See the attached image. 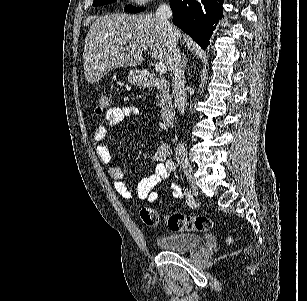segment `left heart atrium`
Segmentation results:
<instances>
[{
    "instance_id": "39dd6f15",
    "label": "left heart atrium",
    "mask_w": 307,
    "mask_h": 301,
    "mask_svg": "<svg viewBox=\"0 0 307 301\" xmlns=\"http://www.w3.org/2000/svg\"><path fill=\"white\" fill-rule=\"evenodd\" d=\"M157 62H175V61H157Z\"/></svg>"
}]
</instances>
